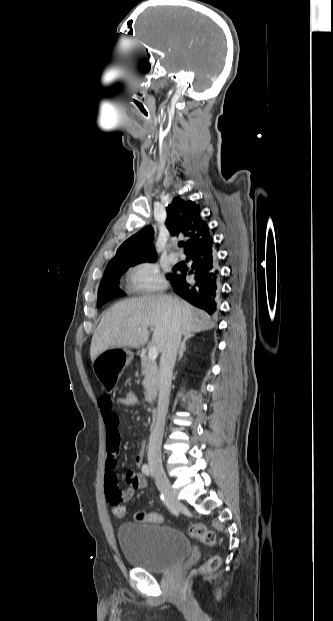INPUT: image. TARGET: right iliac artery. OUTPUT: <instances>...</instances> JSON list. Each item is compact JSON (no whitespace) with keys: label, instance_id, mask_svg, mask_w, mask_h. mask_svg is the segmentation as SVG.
<instances>
[{"label":"right iliac artery","instance_id":"82829eb1","mask_svg":"<svg viewBox=\"0 0 333 621\" xmlns=\"http://www.w3.org/2000/svg\"><path fill=\"white\" fill-rule=\"evenodd\" d=\"M142 472H143L145 475H147V476H149V475H150V468H149V466H148L147 464H143V466H142ZM160 497H161V499H162L163 501H165V498H164L163 493H161V494H160Z\"/></svg>","mask_w":333,"mask_h":621}]
</instances>
